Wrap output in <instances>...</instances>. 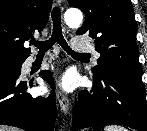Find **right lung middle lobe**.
I'll use <instances>...</instances> for the list:
<instances>
[{"instance_id":"obj_1","label":"right lung middle lobe","mask_w":147,"mask_h":131,"mask_svg":"<svg viewBox=\"0 0 147 131\" xmlns=\"http://www.w3.org/2000/svg\"><path fill=\"white\" fill-rule=\"evenodd\" d=\"M24 61L20 59H0V74H19Z\"/></svg>"}]
</instances>
